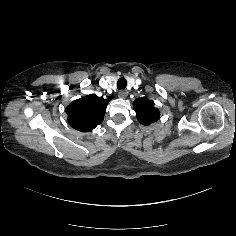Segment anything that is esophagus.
Returning <instances> with one entry per match:
<instances>
[{
    "mask_svg": "<svg viewBox=\"0 0 236 236\" xmlns=\"http://www.w3.org/2000/svg\"><path fill=\"white\" fill-rule=\"evenodd\" d=\"M128 96V92L126 90L119 91V97L125 99Z\"/></svg>",
    "mask_w": 236,
    "mask_h": 236,
    "instance_id": "obj_1",
    "label": "esophagus"
}]
</instances>
